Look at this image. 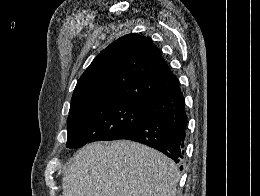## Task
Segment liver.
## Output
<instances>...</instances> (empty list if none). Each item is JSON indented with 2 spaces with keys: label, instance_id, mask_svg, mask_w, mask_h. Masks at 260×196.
Masks as SVG:
<instances>
[{
  "label": "liver",
  "instance_id": "liver-1",
  "mask_svg": "<svg viewBox=\"0 0 260 196\" xmlns=\"http://www.w3.org/2000/svg\"><path fill=\"white\" fill-rule=\"evenodd\" d=\"M180 174L170 158L130 140L86 144L71 158L63 196H176Z\"/></svg>",
  "mask_w": 260,
  "mask_h": 196
}]
</instances>
